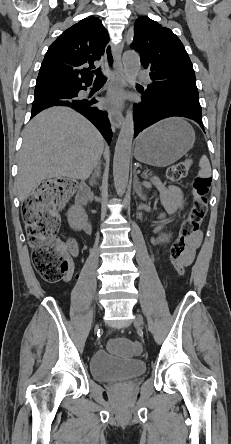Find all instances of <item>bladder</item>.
Wrapping results in <instances>:
<instances>
[{"label": "bladder", "mask_w": 231, "mask_h": 444, "mask_svg": "<svg viewBox=\"0 0 231 444\" xmlns=\"http://www.w3.org/2000/svg\"><path fill=\"white\" fill-rule=\"evenodd\" d=\"M90 370L97 381L112 382L144 374L146 364L138 359H120L100 349L91 357Z\"/></svg>", "instance_id": "31cf9c89"}]
</instances>
